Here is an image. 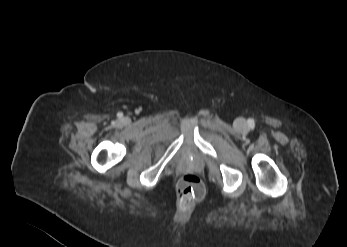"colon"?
Returning a JSON list of instances; mask_svg holds the SVG:
<instances>
[{
	"instance_id": "colon-1",
	"label": "colon",
	"mask_w": 347,
	"mask_h": 247,
	"mask_svg": "<svg viewBox=\"0 0 347 247\" xmlns=\"http://www.w3.org/2000/svg\"><path fill=\"white\" fill-rule=\"evenodd\" d=\"M177 190L184 201L201 199L204 196V187L195 174L188 173L181 177L178 182Z\"/></svg>"
}]
</instances>
